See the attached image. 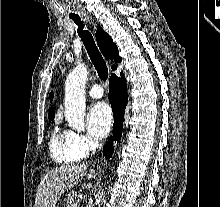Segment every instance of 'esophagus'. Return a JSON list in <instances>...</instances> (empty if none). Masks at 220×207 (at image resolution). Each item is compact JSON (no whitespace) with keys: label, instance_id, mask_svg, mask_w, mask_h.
Here are the masks:
<instances>
[{"label":"esophagus","instance_id":"obj_1","mask_svg":"<svg viewBox=\"0 0 220 207\" xmlns=\"http://www.w3.org/2000/svg\"><path fill=\"white\" fill-rule=\"evenodd\" d=\"M88 21H90L91 19L89 17H87Z\"/></svg>","mask_w":220,"mask_h":207}]
</instances>
